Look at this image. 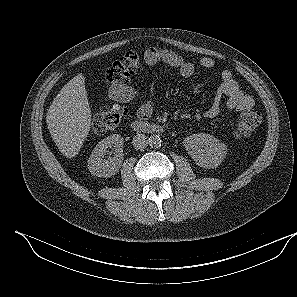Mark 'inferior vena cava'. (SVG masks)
<instances>
[{"label": "inferior vena cava", "instance_id": "inferior-vena-cava-1", "mask_svg": "<svg viewBox=\"0 0 297 297\" xmlns=\"http://www.w3.org/2000/svg\"><path fill=\"white\" fill-rule=\"evenodd\" d=\"M133 146L137 150H143L148 145V140L145 134L137 133L132 140Z\"/></svg>", "mask_w": 297, "mask_h": 297}]
</instances>
